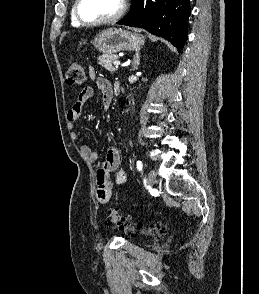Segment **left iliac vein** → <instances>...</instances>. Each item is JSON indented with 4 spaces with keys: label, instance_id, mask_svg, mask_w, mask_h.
Wrapping results in <instances>:
<instances>
[{
    "label": "left iliac vein",
    "instance_id": "left-iliac-vein-1",
    "mask_svg": "<svg viewBox=\"0 0 259 294\" xmlns=\"http://www.w3.org/2000/svg\"><path fill=\"white\" fill-rule=\"evenodd\" d=\"M156 181V172L151 169L148 173L147 182L150 187H153Z\"/></svg>",
    "mask_w": 259,
    "mask_h": 294
}]
</instances>
